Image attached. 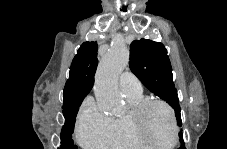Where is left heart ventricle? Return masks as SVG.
<instances>
[{
  "instance_id": "b2bd125f",
  "label": "left heart ventricle",
  "mask_w": 227,
  "mask_h": 149,
  "mask_svg": "<svg viewBox=\"0 0 227 149\" xmlns=\"http://www.w3.org/2000/svg\"><path fill=\"white\" fill-rule=\"evenodd\" d=\"M145 132L158 144H169L173 138V127L169 113L161 106H153L145 117Z\"/></svg>"
}]
</instances>
